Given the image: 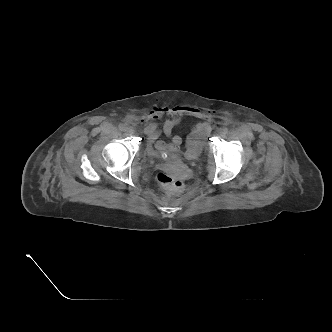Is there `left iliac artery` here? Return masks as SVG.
<instances>
[{
	"label": "left iliac artery",
	"instance_id": "obj_1",
	"mask_svg": "<svg viewBox=\"0 0 332 332\" xmlns=\"http://www.w3.org/2000/svg\"><path fill=\"white\" fill-rule=\"evenodd\" d=\"M222 132H223L224 134H227V133H228V128L223 127V128H222Z\"/></svg>",
	"mask_w": 332,
	"mask_h": 332
}]
</instances>
